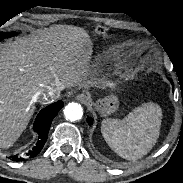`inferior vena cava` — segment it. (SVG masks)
Segmentation results:
<instances>
[{
  "label": "inferior vena cava",
  "instance_id": "inferior-vena-cava-1",
  "mask_svg": "<svg viewBox=\"0 0 183 183\" xmlns=\"http://www.w3.org/2000/svg\"><path fill=\"white\" fill-rule=\"evenodd\" d=\"M64 89L63 85H50L47 86L41 90H39L35 95H34V100L35 101H40V102H48L50 100L59 98L61 91Z\"/></svg>",
  "mask_w": 183,
  "mask_h": 183
}]
</instances>
